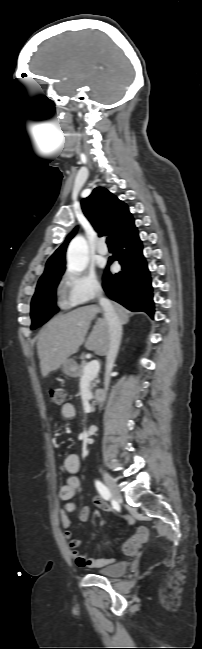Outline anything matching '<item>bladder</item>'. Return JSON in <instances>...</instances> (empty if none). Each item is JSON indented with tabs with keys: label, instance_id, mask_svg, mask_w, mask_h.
Masks as SVG:
<instances>
[{
	"label": "bladder",
	"instance_id": "31cf9c89",
	"mask_svg": "<svg viewBox=\"0 0 202 649\" xmlns=\"http://www.w3.org/2000/svg\"><path fill=\"white\" fill-rule=\"evenodd\" d=\"M127 568L128 563L126 561H118L97 570L96 573L107 577H117L124 574Z\"/></svg>",
	"mask_w": 202,
	"mask_h": 649
}]
</instances>
